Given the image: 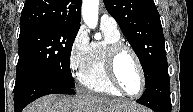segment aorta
Segmentation results:
<instances>
[{
  "instance_id": "aorta-1",
  "label": "aorta",
  "mask_w": 193,
  "mask_h": 112,
  "mask_svg": "<svg viewBox=\"0 0 193 112\" xmlns=\"http://www.w3.org/2000/svg\"><path fill=\"white\" fill-rule=\"evenodd\" d=\"M98 11L99 0H83L82 3V18L84 23L94 29L98 23ZM95 39H101V35L98 33L95 35Z\"/></svg>"
}]
</instances>
